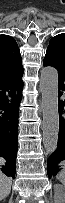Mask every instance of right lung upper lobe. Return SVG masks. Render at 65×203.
<instances>
[{
	"label": "right lung upper lobe",
	"mask_w": 65,
	"mask_h": 203,
	"mask_svg": "<svg viewBox=\"0 0 65 203\" xmlns=\"http://www.w3.org/2000/svg\"><path fill=\"white\" fill-rule=\"evenodd\" d=\"M22 71L17 43L10 36L0 35V76L13 75Z\"/></svg>",
	"instance_id": "obj_1"
}]
</instances>
